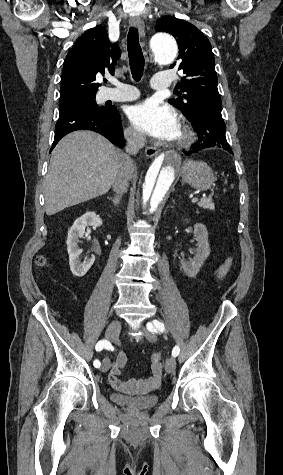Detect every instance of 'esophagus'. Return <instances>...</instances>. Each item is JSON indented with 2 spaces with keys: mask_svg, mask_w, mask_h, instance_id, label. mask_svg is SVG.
Here are the masks:
<instances>
[{
  "mask_svg": "<svg viewBox=\"0 0 283 475\" xmlns=\"http://www.w3.org/2000/svg\"><path fill=\"white\" fill-rule=\"evenodd\" d=\"M129 23H130L131 27H137V29L139 30V33H140L141 37L144 35V33H145V25H144V21L142 20L141 17H139V16L130 17ZM158 153H159V149L156 148V147H147L146 150H145V155H146V157H148V158H153V157H155ZM169 156H170V158H172V159L175 160L176 162H177V161H180V159H179L178 156H173V155H169Z\"/></svg>",
  "mask_w": 283,
  "mask_h": 475,
  "instance_id": "obj_1",
  "label": "esophagus"
}]
</instances>
